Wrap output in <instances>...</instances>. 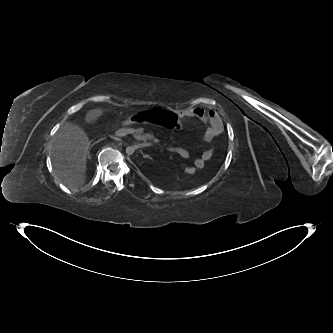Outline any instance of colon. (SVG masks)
<instances>
[{
	"label": "colon",
	"mask_w": 333,
	"mask_h": 333,
	"mask_svg": "<svg viewBox=\"0 0 333 333\" xmlns=\"http://www.w3.org/2000/svg\"><path fill=\"white\" fill-rule=\"evenodd\" d=\"M155 125L159 124L162 128L172 129L178 125V116L170 111L158 110L155 108L142 111H135L133 114H127L124 117V124L127 127H134L136 124H142L143 122ZM184 173L193 175L196 169L193 166L189 168H183Z\"/></svg>",
	"instance_id": "1"
}]
</instances>
